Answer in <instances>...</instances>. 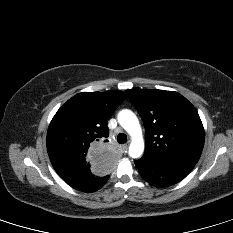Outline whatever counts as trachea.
<instances>
[{
  "instance_id": "1",
  "label": "trachea",
  "mask_w": 233,
  "mask_h": 233,
  "mask_svg": "<svg viewBox=\"0 0 233 233\" xmlns=\"http://www.w3.org/2000/svg\"><path fill=\"white\" fill-rule=\"evenodd\" d=\"M117 141L120 144L126 143L127 142V136L124 133H120L117 137Z\"/></svg>"
}]
</instances>
